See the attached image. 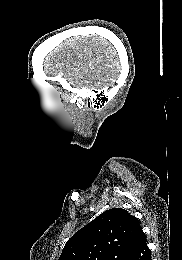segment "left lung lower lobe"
Listing matches in <instances>:
<instances>
[{
	"label": "left lung lower lobe",
	"instance_id": "0a47b994",
	"mask_svg": "<svg viewBox=\"0 0 182 260\" xmlns=\"http://www.w3.org/2000/svg\"><path fill=\"white\" fill-rule=\"evenodd\" d=\"M121 260H151L150 250L142 229L134 237Z\"/></svg>",
	"mask_w": 182,
	"mask_h": 260
}]
</instances>
